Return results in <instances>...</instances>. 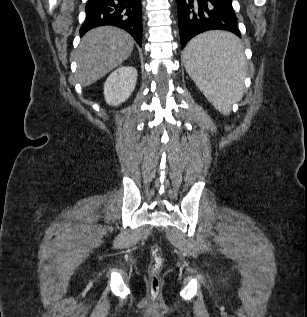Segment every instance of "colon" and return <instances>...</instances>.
<instances>
[{
  "label": "colon",
  "instance_id": "obj_1",
  "mask_svg": "<svg viewBox=\"0 0 307 317\" xmlns=\"http://www.w3.org/2000/svg\"><path fill=\"white\" fill-rule=\"evenodd\" d=\"M163 266L161 248L154 245L151 248V263L149 266V283L152 294H157L160 287V273Z\"/></svg>",
  "mask_w": 307,
  "mask_h": 317
}]
</instances>
